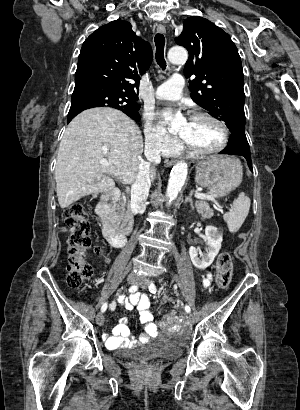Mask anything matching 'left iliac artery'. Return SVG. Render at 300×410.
Masks as SVG:
<instances>
[{
	"mask_svg": "<svg viewBox=\"0 0 300 410\" xmlns=\"http://www.w3.org/2000/svg\"><path fill=\"white\" fill-rule=\"evenodd\" d=\"M149 291H150L151 293H153V294H155L156 291H157V288H156V286H155V284H154L153 282H151L150 285H149ZM185 311H186L187 313H190L191 309H190V307H189L188 305L185 306Z\"/></svg>",
	"mask_w": 300,
	"mask_h": 410,
	"instance_id": "left-iliac-artery-1",
	"label": "left iliac artery"
}]
</instances>
